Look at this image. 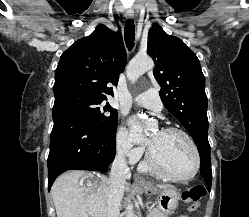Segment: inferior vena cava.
Returning a JSON list of instances; mask_svg holds the SVG:
<instances>
[{"label": "inferior vena cava", "instance_id": "1", "mask_svg": "<svg viewBox=\"0 0 249 217\" xmlns=\"http://www.w3.org/2000/svg\"><path fill=\"white\" fill-rule=\"evenodd\" d=\"M126 148L118 147L117 155L111 167L110 186L108 195V209L110 217L119 213L126 180L131 177V172L125 160Z\"/></svg>", "mask_w": 249, "mask_h": 217}]
</instances>
